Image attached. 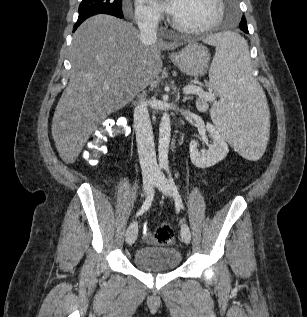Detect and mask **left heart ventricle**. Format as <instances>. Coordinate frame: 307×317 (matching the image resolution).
Here are the masks:
<instances>
[{"label":"left heart ventricle","instance_id":"left-heart-ventricle-1","mask_svg":"<svg viewBox=\"0 0 307 317\" xmlns=\"http://www.w3.org/2000/svg\"><path fill=\"white\" fill-rule=\"evenodd\" d=\"M216 13L215 0H180L172 17L183 26L195 28L211 23Z\"/></svg>","mask_w":307,"mask_h":317}]
</instances>
